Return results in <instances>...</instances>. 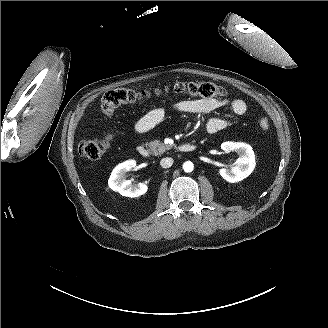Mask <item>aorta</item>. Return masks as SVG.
Masks as SVG:
<instances>
[{
    "instance_id": "obj_1",
    "label": "aorta",
    "mask_w": 328,
    "mask_h": 328,
    "mask_svg": "<svg viewBox=\"0 0 328 328\" xmlns=\"http://www.w3.org/2000/svg\"><path fill=\"white\" fill-rule=\"evenodd\" d=\"M194 169V165L191 161H186L183 163V170L187 173L192 172Z\"/></svg>"
}]
</instances>
